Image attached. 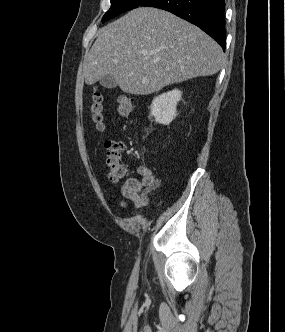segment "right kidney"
Instances as JSON below:
<instances>
[{
    "mask_svg": "<svg viewBox=\"0 0 285 332\" xmlns=\"http://www.w3.org/2000/svg\"><path fill=\"white\" fill-rule=\"evenodd\" d=\"M182 92L174 89L154 98L150 114L157 123L169 125L177 115L176 107L181 100Z\"/></svg>",
    "mask_w": 285,
    "mask_h": 332,
    "instance_id": "1",
    "label": "right kidney"
}]
</instances>
